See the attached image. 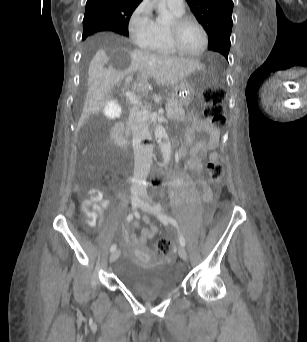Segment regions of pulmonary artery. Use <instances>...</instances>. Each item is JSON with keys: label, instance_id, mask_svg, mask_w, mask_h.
<instances>
[{"label": "pulmonary artery", "instance_id": "1", "mask_svg": "<svg viewBox=\"0 0 307 342\" xmlns=\"http://www.w3.org/2000/svg\"><path fill=\"white\" fill-rule=\"evenodd\" d=\"M168 8L175 14H182L185 9V1H164Z\"/></svg>", "mask_w": 307, "mask_h": 342}]
</instances>
